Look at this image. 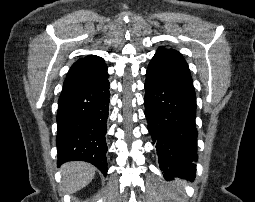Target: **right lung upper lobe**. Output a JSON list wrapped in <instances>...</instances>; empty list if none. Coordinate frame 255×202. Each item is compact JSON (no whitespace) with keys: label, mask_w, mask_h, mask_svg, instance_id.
Wrapping results in <instances>:
<instances>
[{"label":"right lung upper lobe","mask_w":255,"mask_h":202,"mask_svg":"<svg viewBox=\"0 0 255 202\" xmlns=\"http://www.w3.org/2000/svg\"><path fill=\"white\" fill-rule=\"evenodd\" d=\"M108 78L107 66L103 59L89 55L76 61L70 68L63 84V90L96 84Z\"/></svg>","instance_id":"obj_1"}]
</instances>
